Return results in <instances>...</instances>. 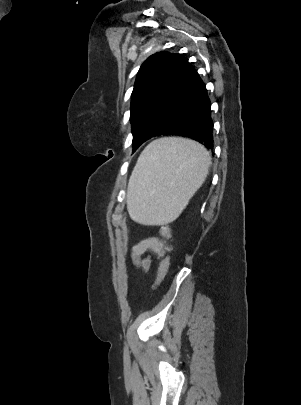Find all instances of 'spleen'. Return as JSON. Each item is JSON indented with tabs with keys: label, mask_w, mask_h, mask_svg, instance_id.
Wrapping results in <instances>:
<instances>
[{
	"label": "spleen",
	"mask_w": 301,
	"mask_h": 405,
	"mask_svg": "<svg viewBox=\"0 0 301 405\" xmlns=\"http://www.w3.org/2000/svg\"><path fill=\"white\" fill-rule=\"evenodd\" d=\"M210 164L209 152L193 140H154L139 156L129 180L130 217L145 225L174 221L204 183Z\"/></svg>",
	"instance_id": "obj_1"
}]
</instances>
